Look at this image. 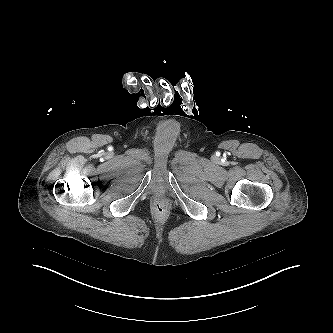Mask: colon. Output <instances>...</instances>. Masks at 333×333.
Segmentation results:
<instances>
[{
  "mask_svg": "<svg viewBox=\"0 0 333 333\" xmlns=\"http://www.w3.org/2000/svg\"><path fill=\"white\" fill-rule=\"evenodd\" d=\"M156 209H157L158 212H162V211H164L165 206H164L163 203L158 202V203L156 204Z\"/></svg>",
  "mask_w": 333,
  "mask_h": 333,
  "instance_id": "1",
  "label": "colon"
}]
</instances>
